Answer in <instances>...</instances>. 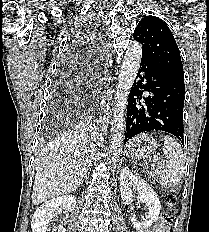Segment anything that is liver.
I'll list each match as a JSON object with an SVG mask.
<instances>
[{"mask_svg": "<svg viewBox=\"0 0 209 232\" xmlns=\"http://www.w3.org/2000/svg\"><path fill=\"white\" fill-rule=\"evenodd\" d=\"M93 127L80 124L50 141L36 159L32 203L73 192L82 183L91 165Z\"/></svg>", "mask_w": 209, "mask_h": 232, "instance_id": "1", "label": "liver"}]
</instances>
